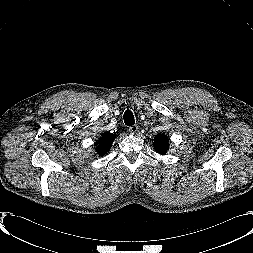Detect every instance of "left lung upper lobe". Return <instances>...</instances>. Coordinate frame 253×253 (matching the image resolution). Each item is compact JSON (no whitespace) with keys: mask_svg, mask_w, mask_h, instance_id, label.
Wrapping results in <instances>:
<instances>
[{"mask_svg":"<svg viewBox=\"0 0 253 253\" xmlns=\"http://www.w3.org/2000/svg\"><path fill=\"white\" fill-rule=\"evenodd\" d=\"M168 142H169V140L165 135L159 134V135L155 136V142L153 145L159 154L164 155L168 149V146H169Z\"/></svg>","mask_w":253,"mask_h":253,"instance_id":"5c2ea615","label":"left lung upper lobe"}]
</instances>
